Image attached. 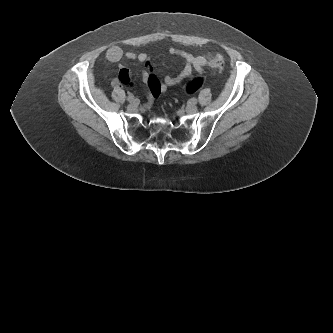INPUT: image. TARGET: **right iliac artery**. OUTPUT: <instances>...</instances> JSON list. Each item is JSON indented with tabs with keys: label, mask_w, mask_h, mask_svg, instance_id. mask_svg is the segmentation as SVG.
<instances>
[{
	"label": "right iliac artery",
	"mask_w": 333,
	"mask_h": 333,
	"mask_svg": "<svg viewBox=\"0 0 333 333\" xmlns=\"http://www.w3.org/2000/svg\"><path fill=\"white\" fill-rule=\"evenodd\" d=\"M127 100H128L130 103H132V102H138V99H135L134 96H132V95H129L128 98H127Z\"/></svg>",
	"instance_id": "obj_1"
}]
</instances>
